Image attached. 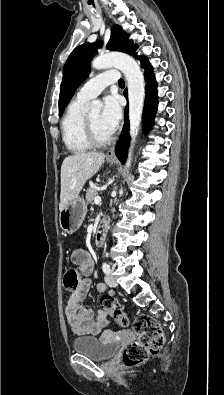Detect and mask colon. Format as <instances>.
<instances>
[{"label":"colon","mask_w":224,"mask_h":395,"mask_svg":"<svg viewBox=\"0 0 224 395\" xmlns=\"http://www.w3.org/2000/svg\"><path fill=\"white\" fill-rule=\"evenodd\" d=\"M79 273L74 267H69L65 273L67 289L78 286ZM102 308L110 313L121 327L129 325V318L119 302L111 295H104L100 300ZM133 329L137 340L128 344L122 352V360L127 367L143 363L150 355L157 354L165 342V334L160 324L148 315H139L134 319Z\"/></svg>","instance_id":"colon-1"}]
</instances>
